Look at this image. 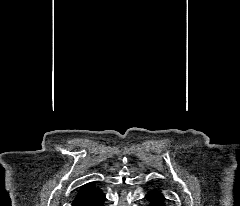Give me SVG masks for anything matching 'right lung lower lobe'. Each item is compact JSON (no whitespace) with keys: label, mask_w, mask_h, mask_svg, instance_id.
Segmentation results:
<instances>
[{"label":"right lung lower lobe","mask_w":240,"mask_h":206,"mask_svg":"<svg viewBox=\"0 0 240 206\" xmlns=\"http://www.w3.org/2000/svg\"><path fill=\"white\" fill-rule=\"evenodd\" d=\"M105 195L99 187L73 200L72 206H104Z\"/></svg>","instance_id":"right-lung-lower-lobe-1"}]
</instances>
